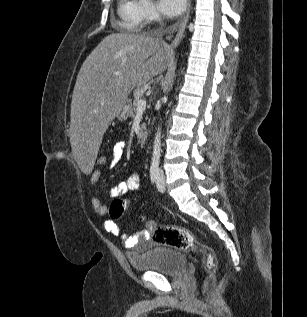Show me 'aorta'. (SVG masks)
Returning a JSON list of instances; mask_svg holds the SVG:
<instances>
[{"label": "aorta", "mask_w": 307, "mask_h": 317, "mask_svg": "<svg viewBox=\"0 0 307 317\" xmlns=\"http://www.w3.org/2000/svg\"><path fill=\"white\" fill-rule=\"evenodd\" d=\"M160 157H161V128L159 127L154 137L151 165L158 166L160 162Z\"/></svg>", "instance_id": "762f6f07"}]
</instances>
